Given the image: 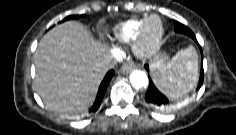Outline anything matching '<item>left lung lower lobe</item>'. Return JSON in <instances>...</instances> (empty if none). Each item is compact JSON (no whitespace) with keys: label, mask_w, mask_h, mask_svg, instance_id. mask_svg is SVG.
Listing matches in <instances>:
<instances>
[{"label":"left lung lower lobe","mask_w":236,"mask_h":135,"mask_svg":"<svg viewBox=\"0 0 236 135\" xmlns=\"http://www.w3.org/2000/svg\"><path fill=\"white\" fill-rule=\"evenodd\" d=\"M175 25V31L177 33L185 34L189 37H191L194 41L197 42L195 35L193 32L186 27L185 25L173 21ZM202 52V50H201ZM146 70L149 71L148 66H145ZM204 80V71H203V54H202V62H201V73H200V78L198 82L197 89H199ZM145 101L153 108L159 109V110H166L167 108L170 107L171 102L162 94L160 93L157 88L155 87L154 83L150 80L148 90L145 94Z\"/></svg>","instance_id":"1"}]
</instances>
